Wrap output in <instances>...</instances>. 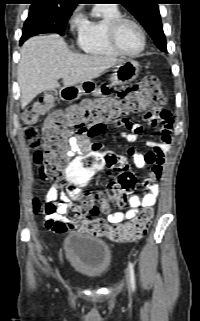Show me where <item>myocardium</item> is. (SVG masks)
Segmentation results:
<instances>
[{
    "label": "myocardium",
    "mask_w": 200,
    "mask_h": 321,
    "mask_svg": "<svg viewBox=\"0 0 200 321\" xmlns=\"http://www.w3.org/2000/svg\"><path fill=\"white\" fill-rule=\"evenodd\" d=\"M126 22L134 25L138 29V31L141 35L142 46L136 52H127V51L123 50L118 43V31H119L121 25ZM107 36H108V41H109L111 47L117 53H119L120 55H123V56L136 57V56L140 55L146 48L147 38H146V34H145L144 29L136 20H134L133 18L128 17V16L122 15V16H119V17L115 18L114 20H112L108 26Z\"/></svg>",
    "instance_id": "myocardium-1"
}]
</instances>
